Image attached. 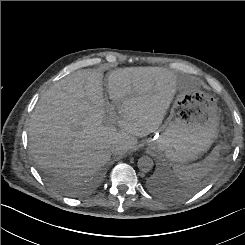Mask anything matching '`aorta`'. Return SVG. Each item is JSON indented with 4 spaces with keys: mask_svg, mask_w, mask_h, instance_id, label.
<instances>
[{
    "mask_svg": "<svg viewBox=\"0 0 245 245\" xmlns=\"http://www.w3.org/2000/svg\"><path fill=\"white\" fill-rule=\"evenodd\" d=\"M137 166L142 172H149L154 166V162L149 156H142L138 159Z\"/></svg>",
    "mask_w": 245,
    "mask_h": 245,
    "instance_id": "aorta-1",
    "label": "aorta"
}]
</instances>
